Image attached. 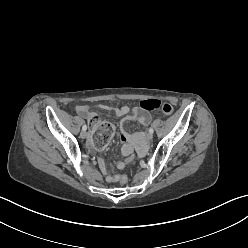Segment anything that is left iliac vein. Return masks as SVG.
<instances>
[{"label":"left iliac vein","mask_w":248,"mask_h":248,"mask_svg":"<svg viewBox=\"0 0 248 248\" xmlns=\"http://www.w3.org/2000/svg\"><path fill=\"white\" fill-rule=\"evenodd\" d=\"M152 138H153V133H148L147 134V140H152Z\"/></svg>","instance_id":"1"}]
</instances>
